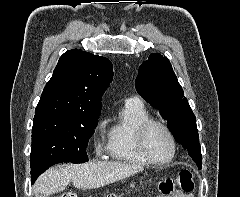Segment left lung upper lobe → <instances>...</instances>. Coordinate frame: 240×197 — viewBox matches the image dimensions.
Instances as JSON below:
<instances>
[{
  "label": "left lung upper lobe",
  "instance_id": "obj_1",
  "mask_svg": "<svg viewBox=\"0 0 240 197\" xmlns=\"http://www.w3.org/2000/svg\"><path fill=\"white\" fill-rule=\"evenodd\" d=\"M136 90L167 120V127L174 138L202 167L201 147L196 118L183 94L170 61L159 53L150 54L139 67Z\"/></svg>",
  "mask_w": 240,
  "mask_h": 197
}]
</instances>
